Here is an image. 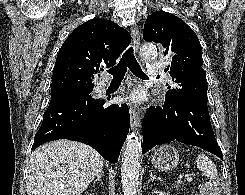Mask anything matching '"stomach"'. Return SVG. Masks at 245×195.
Wrapping results in <instances>:
<instances>
[{
  "mask_svg": "<svg viewBox=\"0 0 245 195\" xmlns=\"http://www.w3.org/2000/svg\"><path fill=\"white\" fill-rule=\"evenodd\" d=\"M179 162V153L172 145H162L151 155L152 165L159 170H171Z\"/></svg>",
  "mask_w": 245,
  "mask_h": 195,
  "instance_id": "0dacf381",
  "label": "stomach"
}]
</instances>
